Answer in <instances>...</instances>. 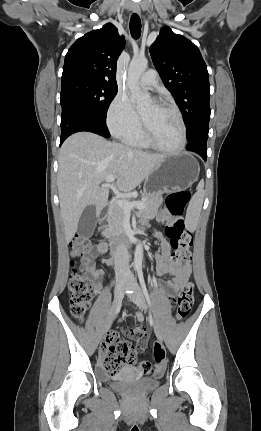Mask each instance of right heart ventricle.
Instances as JSON below:
<instances>
[{
	"mask_svg": "<svg viewBox=\"0 0 261 431\" xmlns=\"http://www.w3.org/2000/svg\"><path fill=\"white\" fill-rule=\"evenodd\" d=\"M126 143L133 147L148 148L150 145L145 140L142 130L139 128L132 134L125 137Z\"/></svg>",
	"mask_w": 261,
	"mask_h": 431,
	"instance_id": "1",
	"label": "right heart ventricle"
}]
</instances>
